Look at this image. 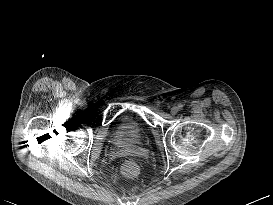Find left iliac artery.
<instances>
[{
  "label": "left iliac artery",
  "instance_id": "1",
  "mask_svg": "<svg viewBox=\"0 0 273 205\" xmlns=\"http://www.w3.org/2000/svg\"><path fill=\"white\" fill-rule=\"evenodd\" d=\"M178 107H179V109H182V108H183V105H182V104H179Z\"/></svg>",
  "mask_w": 273,
  "mask_h": 205
}]
</instances>
